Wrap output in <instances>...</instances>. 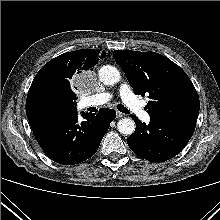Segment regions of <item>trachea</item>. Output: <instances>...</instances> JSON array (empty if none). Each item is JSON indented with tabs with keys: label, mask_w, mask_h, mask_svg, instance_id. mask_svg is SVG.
I'll return each mask as SVG.
<instances>
[{
	"label": "trachea",
	"mask_w": 220,
	"mask_h": 220,
	"mask_svg": "<svg viewBox=\"0 0 220 220\" xmlns=\"http://www.w3.org/2000/svg\"><path fill=\"white\" fill-rule=\"evenodd\" d=\"M117 109H118L120 112H122V113H125V114H128V113H129L128 109H127L126 107H124L123 105H121V104H118V105H117Z\"/></svg>",
	"instance_id": "3493384b"
}]
</instances>
